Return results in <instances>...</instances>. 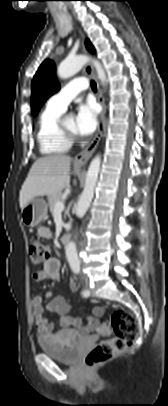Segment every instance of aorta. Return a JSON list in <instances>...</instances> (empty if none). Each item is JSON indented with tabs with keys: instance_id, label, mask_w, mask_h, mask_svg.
Returning <instances> with one entry per match:
<instances>
[{
	"instance_id": "aorta-1",
	"label": "aorta",
	"mask_w": 168,
	"mask_h": 406,
	"mask_svg": "<svg viewBox=\"0 0 168 406\" xmlns=\"http://www.w3.org/2000/svg\"><path fill=\"white\" fill-rule=\"evenodd\" d=\"M88 60L89 58L84 55L67 57L64 61L60 63L58 67V76L61 79H67L69 77H72L82 69V67L86 64ZM93 64L97 71L99 80L102 82V84L105 85L106 75L101 64L97 60H93ZM100 163H101L100 155H97L89 165L86 174L85 188L79 198L76 208L77 216L84 215L90 206V203L94 196L95 186L98 180ZM66 257L71 269L78 271L80 269V261L77 255L76 244L74 242H69L67 244Z\"/></svg>"
}]
</instances>
